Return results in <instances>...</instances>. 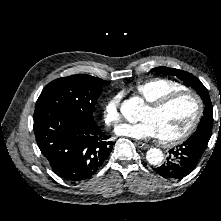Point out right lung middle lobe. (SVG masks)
Here are the masks:
<instances>
[{
  "label": "right lung middle lobe",
  "mask_w": 221,
  "mask_h": 221,
  "mask_svg": "<svg viewBox=\"0 0 221 221\" xmlns=\"http://www.w3.org/2000/svg\"><path fill=\"white\" fill-rule=\"evenodd\" d=\"M110 82L90 75L58 78L42 90L36 106H50L85 123H96L94 107L102 87Z\"/></svg>",
  "instance_id": "1"
}]
</instances>
